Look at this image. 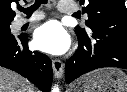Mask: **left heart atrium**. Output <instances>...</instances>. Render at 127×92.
I'll return each mask as SVG.
<instances>
[{
    "label": "left heart atrium",
    "mask_w": 127,
    "mask_h": 92,
    "mask_svg": "<svg viewBox=\"0 0 127 92\" xmlns=\"http://www.w3.org/2000/svg\"><path fill=\"white\" fill-rule=\"evenodd\" d=\"M33 40L39 50L53 55L63 54L70 46V37L67 31L55 20L38 27Z\"/></svg>",
    "instance_id": "left-heart-atrium-1"
}]
</instances>
